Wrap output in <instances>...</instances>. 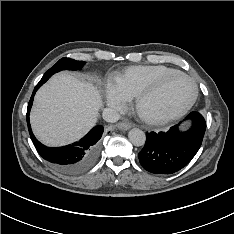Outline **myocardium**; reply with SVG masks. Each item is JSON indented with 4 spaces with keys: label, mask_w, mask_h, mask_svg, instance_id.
Instances as JSON below:
<instances>
[{
    "label": "myocardium",
    "mask_w": 234,
    "mask_h": 234,
    "mask_svg": "<svg viewBox=\"0 0 234 234\" xmlns=\"http://www.w3.org/2000/svg\"><path fill=\"white\" fill-rule=\"evenodd\" d=\"M173 77H184L189 80L193 86V94L191 99L185 104L182 108L172 111V112H163V113H149L145 110L146 102L155 95L171 78ZM198 97V87L195 80L189 75L181 72L175 71L169 74L164 75L159 80H157L153 85L144 90L136 98V112L138 116L146 123L152 125L164 124L170 121L177 120L184 116L195 104Z\"/></svg>",
    "instance_id": "obj_1"
}]
</instances>
